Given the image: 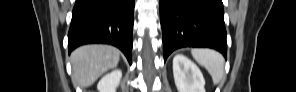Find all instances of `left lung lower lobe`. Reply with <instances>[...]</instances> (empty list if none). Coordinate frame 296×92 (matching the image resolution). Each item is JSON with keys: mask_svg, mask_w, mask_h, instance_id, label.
Segmentation results:
<instances>
[{"mask_svg": "<svg viewBox=\"0 0 296 92\" xmlns=\"http://www.w3.org/2000/svg\"><path fill=\"white\" fill-rule=\"evenodd\" d=\"M164 60L182 47H209L227 56L222 0H160Z\"/></svg>", "mask_w": 296, "mask_h": 92, "instance_id": "0a47b994", "label": "left lung lower lobe"}]
</instances>
